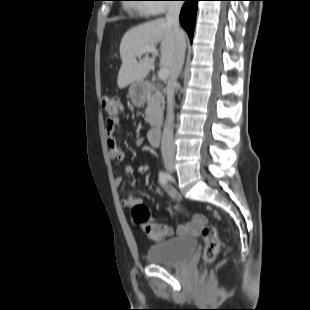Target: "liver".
Here are the masks:
<instances>
[{"label":"liver","instance_id":"obj_1","mask_svg":"<svg viewBox=\"0 0 310 310\" xmlns=\"http://www.w3.org/2000/svg\"><path fill=\"white\" fill-rule=\"evenodd\" d=\"M160 43V64L169 69L175 52V32L166 19L160 18L128 30L120 43L122 64L117 84L120 89L133 82H142L153 66L155 58L146 55L137 61V54L146 47H156Z\"/></svg>","mask_w":310,"mask_h":310}]
</instances>
